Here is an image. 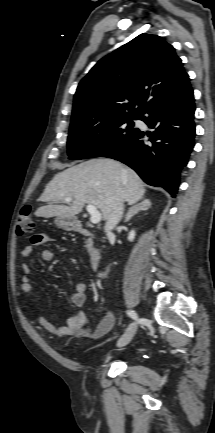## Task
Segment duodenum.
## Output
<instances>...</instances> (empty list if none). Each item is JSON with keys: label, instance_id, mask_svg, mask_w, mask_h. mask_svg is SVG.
<instances>
[{"label": "duodenum", "instance_id": "obj_1", "mask_svg": "<svg viewBox=\"0 0 215 433\" xmlns=\"http://www.w3.org/2000/svg\"><path fill=\"white\" fill-rule=\"evenodd\" d=\"M70 229L81 234V235L87 236L91 239H95L97 236L90 229H87L86 227H84V225L78 220H72L71 221ZM101 258H102L101 252L98 249L91 247L90 265H91V268L93 270H96L99 267L100 262H101Z\"/></svg>", "mask_w": 215, "mask_h": 433}]
</instances>
